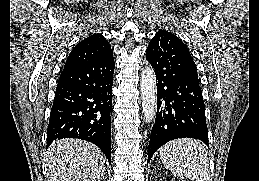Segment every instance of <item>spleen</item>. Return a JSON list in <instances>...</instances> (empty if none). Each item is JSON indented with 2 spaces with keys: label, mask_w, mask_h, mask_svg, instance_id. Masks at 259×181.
Listing matches in <instances>:
<instances>
[{
  "label": "spleen",
  "mask_w": 259,
  "mask_h": 181,
  "mask_svg": "<svg viewBox=\"0 0 259 181\" xmlns=\"http://www.w3.org/2000/svg\"><path fill=\"white\" fill-rule=\"evenodd\" d=\"M159 153L163 165L175 176L192 181H210L208 155L198 140H172L163 145Z\"/></svg>",
  "instance_id": "spleen-1"
}]
</instances>
